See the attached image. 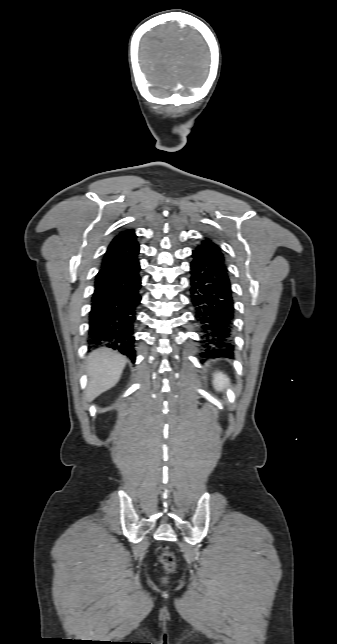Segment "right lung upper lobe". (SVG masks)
Returning <instances> with one entry per match:
<instances>
[{
    "label": "right lung upper lobe",
    "mask_w": 337,
    "mask_h": 644,
    "mask_svg": "<svg viewBox=\"0 0 337 644\" xmlns=\"http://www.w3.org/2000/svg\"><path fill=\"white\" fill-rule=\"evenodd\" d=\"M137 236L133 229L121 232L110 243L102 260V267L128 259H134L139 253Z\"/></svg>",
    "instance_id": "obj_1"
}]
</instances>
